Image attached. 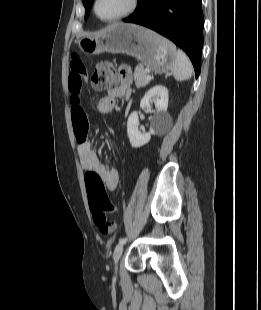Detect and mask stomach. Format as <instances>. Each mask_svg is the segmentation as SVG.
Listing matches in <instances>:
<instances>
[{
    "label": "stomach",
    "mask_w": 261,
    "mask_h": 310,
    "mask_svg": "<svg viewBox=\"0 0 261 310\" xmlns=\"http://www.w3.org/2000/svg\"><path fill=\"white\" fill-rule=\"evenodd\" d=\"M78 46L91 55L110 52L136 57L155 73L171 70L177 57L175 46L167 39L142 26L122 22L80 39Z\"/></svg>",
    "instance_id": "obj_1"
}]
</instances>
